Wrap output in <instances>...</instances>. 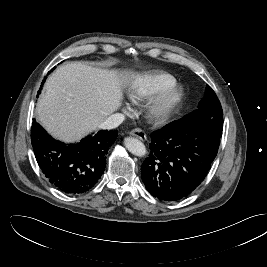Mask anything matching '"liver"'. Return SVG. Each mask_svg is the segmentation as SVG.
Returning a JSON list of instances; mask_svg holds the SVG:
<instances>
[{"mask_svg":"<svg viewBox=\"0 0 267 267\" xmlns=\"http://www.w3.org/2000/svg\"><path fill=\"white\" fill-rule=\"evenodd\" d=\"M128 81V75L80 62L63 65L45 83L36 108L38 120L53 137L78 141L120 108Z\"/></svg>","mask_w":267,"mask_h":267,"instance_id":"6515ba94","label":"liver"}]
</instances>
